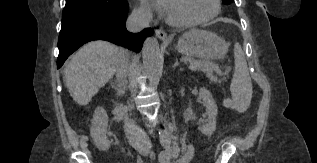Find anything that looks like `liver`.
Segmentation results:
<instances>
[{
	"instance_id": "liver-1",
	"label": "liver",
	"mask_w": 317,
	"mask_h": 163,
	"mask_svg": "<svg viewBox=\"0 0 317 163\" xmlns=\"http://www.w3.org/2000/svg\"><path fill=\"white\" fill-rule=\"evenodd\" d=\"M123 53L124 50L106 41H92L81 47L64 71L65 85L73 100L87 105L113 77Z\"/></svg>"
}]
</instances>
